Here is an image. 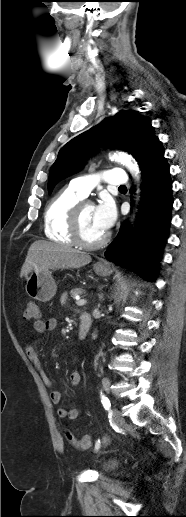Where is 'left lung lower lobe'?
Returning <instances> with one entry per match:
<instances>
[{"instance_id": "left-lung-lower-lobe-1", "label": "left lung lower lobe", "mask_w": 186, "mask_h": 517, "mask_svg": "<svg viewBox=\"0 0 186 517\" xmlns=\"http://www.w3.org/2000/svg\"><path fill=\"white\" fill-rule=\"evenodd\" d=\"M138 163L143 180L140 210H143L144 216L137 229L141 230L144 238L134 251L136 231L131 236L128 224L124 223L105 251V257L123 267L131 265L139 276L155 281L156 266L167 239L173 204L169 166L161 142L158 140Z\"/></svg>"}]
</instances>
